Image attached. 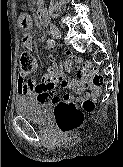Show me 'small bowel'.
<instances>
[{
  "label": "small bowel",
  "instance_id": "small-bowel-1",
  "mask_svg": "<svg viewBox=\"0 0 123 167\" xmlns=\"http://www.w3.org/2000/svg\"><path fill=\"white\" fill-rule=\"evenodd\" d=\"M22 25L28 30L30 28V23L26 19L22 21ZM23 47L28 50H33V38L29 31H26L22 39ZM51 63L48 68L47 73L43 77L41 83H36L33 80H25L20 77L18 80V92L21 95L30 96L39 101H48L53 104L60 102L59 97L54 94V90L58 84L62 87L70 88L77 94H80L83 90L87 88L92 89V93L84 97L65 95L64 100L66 102H75L81 101L90 97H97L101 93L99 87L93 86L90 81L85 78L80 79H66L63 74L60 72L59 68L56 65L55 59L51 56L49 57Z\"/></svg>",
  "mask_w": 123,
  "mask_h": 167
}]
</instances>
